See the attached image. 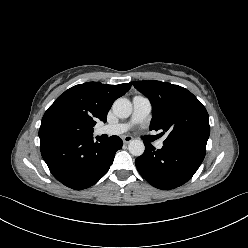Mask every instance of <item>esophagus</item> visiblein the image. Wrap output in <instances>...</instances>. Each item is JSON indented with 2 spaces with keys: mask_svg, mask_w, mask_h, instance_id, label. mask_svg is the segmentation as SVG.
<instances>
[{
  "mask_svg": "<svg viewBox=\"0 0 248 248\" xmlns=\"http://www.w3.org/2000/svg\"><path fill=\"white\" fill-rule=\"evenodd\" d=\"M122 140L125 144H127L133 140V137L130 135H126V136H123Z\"/></svg>",
  "mask_w": 248,
  "mask_h": 248,
  "instance_id": "esophagus-1",
  "label": "esophagus"
}]
</instances>
